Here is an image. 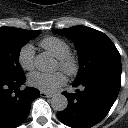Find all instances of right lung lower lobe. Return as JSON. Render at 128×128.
<instances>
[{
  "mask_svg": "<svg viewBox=\"0 0 128 128\" xmlns=\"http://www.w3.org/2000/svg\"><path fill=\"white\" fill-rule=\"evenodd\" d=\"M22 75L16 79H0V128H16L30 112L31 102L40 96L35 88H18L25 82Z\"/></svg>",
  "mask_w": 128,
  "mask_h": 128,
  "instance_id": "obj_1",
  "label": "right lung lower lobe"
}]
</instances>
